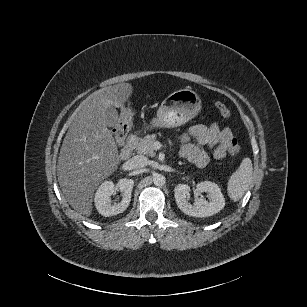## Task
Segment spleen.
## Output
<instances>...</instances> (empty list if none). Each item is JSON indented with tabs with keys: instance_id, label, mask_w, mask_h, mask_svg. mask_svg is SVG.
I'll return each instance as SVG.
<instances>
[{
	"instance_id": "3e777b00",
	"label": "spleen",
	"mask_w": 307,
	"mask_h": 307,
	"mask_svg": "<svg viewBox=\"0 0 307 307\" xmlns=\"http://www.w3.org/2000/svg\"><path fill=\"white\" fill-rule=\"evenodd\" d=\"M252 185V163L249 158H245L239 169L231 176L228 182V192L232 199H240Z\"/></svg>"
}]
</instances>
